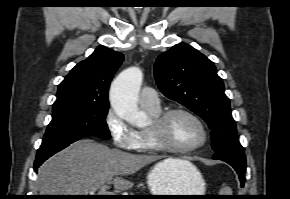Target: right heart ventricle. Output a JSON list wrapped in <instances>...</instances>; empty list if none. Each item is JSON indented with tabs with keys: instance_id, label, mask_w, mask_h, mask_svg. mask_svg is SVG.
I'll list each match as a JSON object with an SVG mask.
<instances>
[{
	"instance_id": "e07e8e85",
	"label": "right heart ventricle",
	"mask_w": 290,
	"mask_h": 199,
	"mask_svg": "<svg viewBox=\"0 0 290 199\" xmlns=\"http://www.w3.org/2000/svg\"><path fill=\"white\" fill-rule=\"evenodd\" d=\"M145 109V108H144ZM152 117L157 116L161 113V110L145 109ZM137 152L141 153H155L159 150L152 143L148 129H141L137 131V146L135 148Z\"/></svg>"
}]
</instances>
